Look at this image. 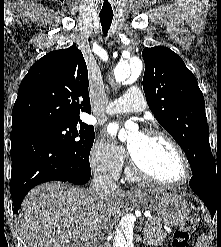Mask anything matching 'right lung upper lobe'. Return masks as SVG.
<instances>
[{
  "label": "right lung upper lobe",
  "mask_w": 221,
  "mask_h": 247,
  "mask_svg": "<svg viewBox=\"0 0 221 247\" xmlns=\"http://www.w3.org/2000/svg\"><path fill=\"white\" fill-rule=\"evenodd\" d=\"M88 70L77 47L52 51L29 69L12 112V131L50 122L81 121L91 113Z\"/></svg>",
  "instance_id": "1"
}]
</instances>
